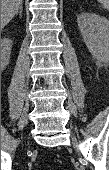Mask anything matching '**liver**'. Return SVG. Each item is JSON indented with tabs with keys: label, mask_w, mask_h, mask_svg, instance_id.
Instances as JSON below:
<instances>
[{
	"label": "liver",
	"mask_w": 109,
	"mask_h": 170,
	"mask_svg": "<svg viewBox=\"0 0 109 170\" xmlns=\"http://www.w3.org/2000/svg\"><path fill=\"white\" fill-rule=\"evenodd\" d=\"M23 0H1V27H5L19 11Z\"/></svg>",
	"instance_id": "6515ba94"
}]
</instances>
